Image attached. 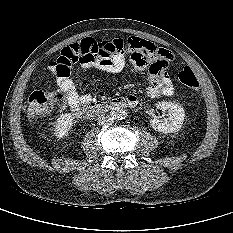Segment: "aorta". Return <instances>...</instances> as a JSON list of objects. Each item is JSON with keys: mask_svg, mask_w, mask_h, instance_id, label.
I'll use <instances>...</instances> for the list:
<instances>
[{"mask_svg": "<svg viewBox=\"0 0 233 233\" xmlns=\"http://www.w3.org/2000/svg\"><path fill=\"white\" fill-rule=\"evenodd\" d=\"M110 116L114 120H123L127 117V112L119 107H115L111 110Z\"/></svg>", "mask_w": 233, "mask_h": 233, "instance_id": "aorta-1", "label": "aorta"}]
</instances>
